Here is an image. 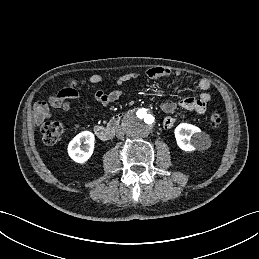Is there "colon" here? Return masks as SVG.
Segmentation results:
<instances>
[{
	"mask_svg": "<svg viewBox=\"0 0 259 259\" xmlns=\"http://www.w3.org/2000/svg\"><path fill=\"white\" fill-rule=\"evenodd\" d=\"M76 81L74 79H68L66 81V87L63 89L66 94L75 90ZM210 125L212 127H218L222 118L218 113H212L209 118ZM64 131L62 123L58 121H49L41 126V134L43 142L47 145H53L59 141Z\"/></svg>",
	"mask_w": 259,
	"mask_h": 259,
	"instance_id": "5ec220e1",
	"label": "colon"
}]
</instances>
